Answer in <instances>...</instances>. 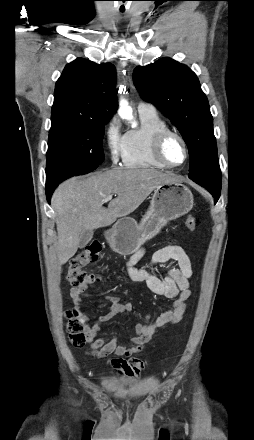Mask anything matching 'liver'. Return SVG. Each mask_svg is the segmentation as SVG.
<instances>
[{
	"label": "liver",
	"instance_id": "obj_1",
	"mask_svg": "<svg viewBox=\"0 0 254 440\" xmlns=\"http://www.w3.org/2000/svg\"><path fill=\"white\" fill-rule=\"evenodd\" d=\"M175 181L172 175L155 169L118 168L61 183L51 200L60 264L75 255L82 232L111 225L135 211L159 185ZM111 194L117 197L104 208V197Z\"/></svg>",
	"mask_w": 254,
	"mask_h": 440
}]
</instances>
